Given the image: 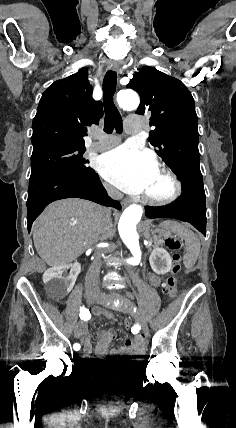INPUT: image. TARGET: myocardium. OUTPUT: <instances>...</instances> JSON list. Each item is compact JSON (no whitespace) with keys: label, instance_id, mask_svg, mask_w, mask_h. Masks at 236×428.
I'll return each mask as SVG.
<instances>
[{"label":"myocardium","instance_id":"f54148a6","mask_svg":"<svg viewBox=\"0 0 236 428\" xmlns=\"http://www.w3.org/2000/svg\"><path fill=\"white\" fill-rule=\"evenodd\" d=\"M161 170L172 185L171 192L162 198L142 194L141 200L151 206L166 207L175 203L184 192V184L175 171L165 162L156 163L155 171Z\"/></svg>","mask_w":236,"mask_h":428}]
</instances>
